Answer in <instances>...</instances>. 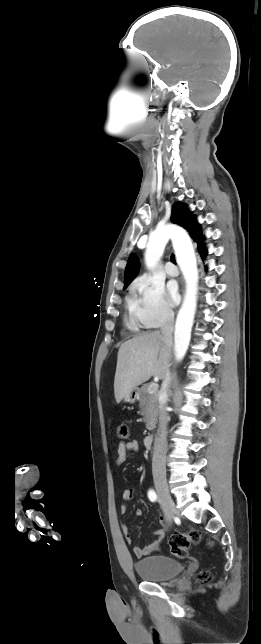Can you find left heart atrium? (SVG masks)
Listing matches in <instances>:
<instances>
[{
    "label": "left heart atrium",
    "mask_w": 261,
    "mask_h": 644,
    "mask_svg": "<svg viewBox=\"0 0 261 644\" xmlns=\"http://www.w3.org/2000/svg\"><path fill=\"white\" fill-rule=\"evenodd\" d=\"M168 292L170 300L173 304H176L179 300L178 287L175 282H171L168 286Z\"/></svg>",
    "instance_id": "39dd6f15"
}]
</instances>
